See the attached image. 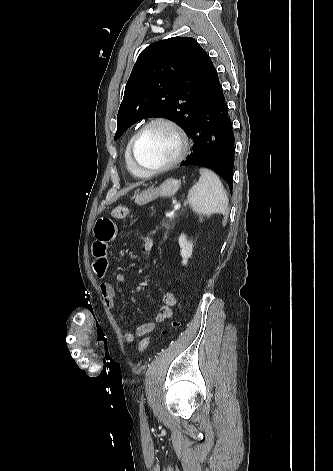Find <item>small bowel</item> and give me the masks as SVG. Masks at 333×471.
<instances>
[{
  "instance_id": "1",
  "label": "small bowel",
  "mask_w": 333,
  "mask_h": 471,
  "mask_svg": "<svg viewBox=\"0 0 333 471\" xmlns=\"http://www.w3.org/2000/svg\"><path fill=\"white\" fill-rule=\"evenodd\" d=\"M95 241L92 246L94 257V271L99 278H104L109 269V260L107 257L108 245L113 241L117 234L116 223L109 217H100L94 226ZM144 248L147 254H150L153 241L150 237L143 238ZM114 284L124 283L125 276L122 273H116L113 278ZM113 283L101 282L100 290L106 307L112 309L115 306V287ZM177 304V298L172 292H165L163 295V305L154 316V321L139 325L135 331L127 330L124 338L127 342H133L136 337H143L154 331L156 324L162 323L173 315V309Z\"/></svg>"
}]
</instances>
